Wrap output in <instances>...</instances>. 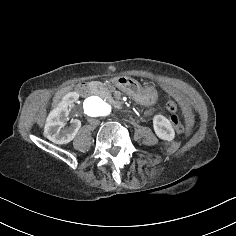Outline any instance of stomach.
<instances>
[{
    "instance_id": "stomach-1",
    "label": "stomach",
    "mask_w": 236,
    "mask_h": 236,
    "mask_svg": "<svg viewBox=\"0 0 236 236\" xmlns=\"http://www.w3.org/2000/svg\"><path fill=\"white\" fill-rule=\"evenodd\" d=\"M115 85L123 93L130 95L136 103L154 104L157 100V93L150 87H142L135 80L124 76L117 78Z\"/></svg>"
}]
</instances>
